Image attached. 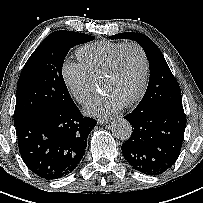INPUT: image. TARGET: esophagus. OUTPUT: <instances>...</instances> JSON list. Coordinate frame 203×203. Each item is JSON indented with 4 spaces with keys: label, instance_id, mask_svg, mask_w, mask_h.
<instances>
[{
    "label": "esophagus",
    "instance_id": "1",
    "mask_svg": "<svg viewBox=\"0 0 203 203\" xmlns=\"http://www.w3.org/2000/svg\"><path fill=\"white\" fill-rule=\"evenodd\" d=\"M111 120H112V119H110V118L98 119V120H97V123H98L99 125H103V124H107V123L111 122Z\"/></svg>",
    "mask_w": 203,
    "mask_h": 203
}]
</instances>
